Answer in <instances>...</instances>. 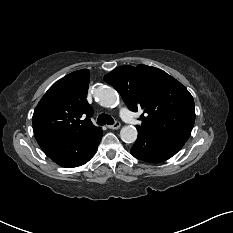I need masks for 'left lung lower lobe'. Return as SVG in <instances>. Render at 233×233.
<instances>
[{
  "label": "left lung lower lobe",
  "mask_w": 233,
  "mask_h": 233,
  "mask_svg": "<svg viewBox=\"0 0 233 233\" xmlns=\"http://www.w3.org/2000/svg\"><path fill=\"white\" fill-rule=\"evenodd\" d=\"M183 141L138 131V137L131 148L137 159L150 163L165 161L175 155L183 146Z\"/></svg>",
  "instance_id": "obj_1"
}]
</instances>
